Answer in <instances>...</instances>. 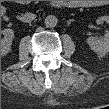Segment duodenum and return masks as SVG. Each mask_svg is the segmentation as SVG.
<instances>
[{
	"label": "duodenum",
	"mask_w": 109,
	"mask_h": 109,
	"mask_svg": "<svg viewBox=\"0 0 109 109\" xmlns=\"http://www.w3.org/2000/svg\"><path fill=\"white\" fill-rule=\"evenodd\" d=\"M67 5H68L67 2L58 1V2L55 3V6H57V7H65Z\"/></svg>",
	"instance_id": "obj_1"
}]
</instances>
